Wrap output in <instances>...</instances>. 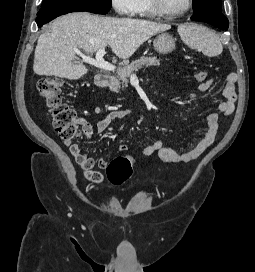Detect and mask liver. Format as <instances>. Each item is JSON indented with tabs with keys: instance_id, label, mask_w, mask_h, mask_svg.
I'll list each match as a JSON object with an SVG mask.
<instances>
[{
	"instance_id": "liver-1",
	"label": "liver",
	"mask_w": 255,
	"mask_h": 272,
	"mask_svg": "<svg viewBox=\"0 0 255 272\" xmlns=\"http://www.w3.org/2000/svg\"><path fill=\"white\" fill-rule=\"evenodd\" d=\"M171 25L142 19L102 17L87 12L55 19L50 32L38 38L33 70L37 75L77 80L88 69L75 62V49L94 53L110 46L120 59H128L150 37Z\"/></svg>"
}]
</instances>
